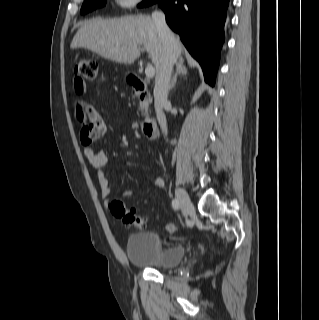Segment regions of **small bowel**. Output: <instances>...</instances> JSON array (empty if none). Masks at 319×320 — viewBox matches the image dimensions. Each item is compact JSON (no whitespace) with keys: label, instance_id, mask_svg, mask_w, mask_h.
Wrapping results in <instances>:
<instances>
[{"label":"small bowel","instance_id":"obj_1","mask_svg":"<svg viewBox=\"0 0 319 320\" xmlns=\"http://www.w3.org/2000/svg\"><path fill=\"white\" fill-rule=\"evenodd\" d=\"M74 89L77 94L82 95L85 92L86 86L79 85L74 81ZM78 113L82 114L89 121L95 140L101 138L105 134V122L92 105L84 100H79L77 102V114ZM84 155L90 165L97 171L96 179L100 189V196L103 199H107L111 194V188L109 180L103 172V168L107 163L106 153L96 150L93 146H86L84 148ZM151 185L155 188H162L164 186V180L161 177H155L152 180ZM132 194L133 192L131 190L124 192L125 197H130Z\"/></svg>","mask_w":319,"mask_h":320}]
</instances>
